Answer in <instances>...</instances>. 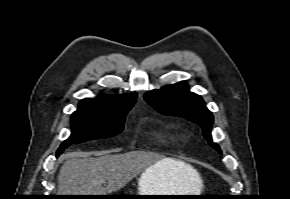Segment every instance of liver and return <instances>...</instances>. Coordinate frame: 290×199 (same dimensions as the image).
Returning <instances> with one entry per match:
<instances>
[{"label":"liver","mask_w":290,"mask_h":199,"mask_svg":"<svg viewBox=\"0 0 290 199\" xmlns=\"http://www.w3.org/2000/svg\"><path fill=\"white\" fill-rule=\"evenodd\" d=\"M157 165L158 170L174 177L173 193H196L202 184L199 173L189 164L172 158H162L146 151L105 155L97 158L66 160L59 171V195H107L123 188L147 168ZM157 173V171H156ZM107 181L105 186H102Z\"/></svg>","instance_id":"6515ba94"}]
</instances>
